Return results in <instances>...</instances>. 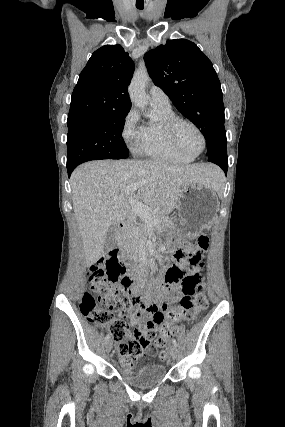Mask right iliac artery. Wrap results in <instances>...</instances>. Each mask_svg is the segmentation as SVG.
Segmentation results:
<instances>
[{"instance_id": "82829eb1", "label": "right iliac artery", "mask_w": 285, "mask_h": 427, "mask_svg": "<svg viewBox=\"0 0 285 427\" xmlns=\"http://www.w3.org/2000/svg\"><path fill=\"white\" fill-rule=\"evenodd\" d=\"M109 338H110V335H109V334H108V335H106V337H105V341L109 340Z\"/></svg>"}]
</instances>
